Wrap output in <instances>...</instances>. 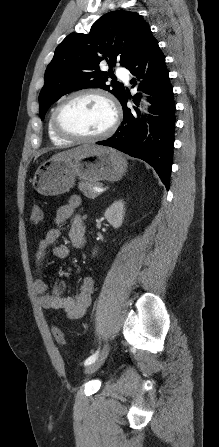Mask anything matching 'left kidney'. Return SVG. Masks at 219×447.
Masks as SVG:
<instances>
[{"label":"left kidney","instance_id":"5707ae66","mask_svg":"<svg viewBox=\"0 0 219 447\" xmlns=\"http://www.w3.org/2000/svg\"><path fill=\"white\" fill-rule=\"evenodd\" d=\"M124 214L125 202L123 200H118L105 210L104 216L105 219L110 223V225H112L114 228H119L123 223Z\"/></svg>","mask_w":219,"mask_h":447}]
</instances>
